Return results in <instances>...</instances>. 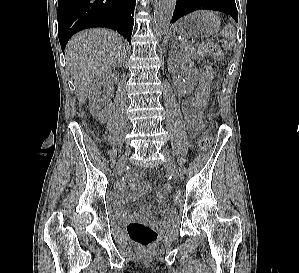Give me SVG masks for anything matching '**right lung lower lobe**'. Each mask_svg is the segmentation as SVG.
I'll return each mask as SVG.
<instances>
[{
    "mask_svg": "<svg viewBox=\"0 0 299 273\" xmlns=\"http://www.w3.org/2000/svg\"><path fill=\"white\" fill-rule=\"evenodd\" d=\"M135 0H59L58 35L62 51L78 31L91 27L116 30L131 43Z\"/></svg>",
    "mask_w": 299,
    "mask_h": 273,
    "instance_id": "right-lung-lower-lobe-1",
    "label": "right lung lower lobe"
}]
</instances>
